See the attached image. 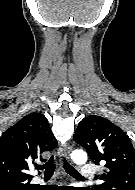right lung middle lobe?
Instances as JSON below:
<instances>
[{"label":"right lung middle lobe","instance_id":"obj_1","mask_svg":"<svg viewBox=\"0 0 135 190\" xmlns=\"http://www.w3.org/2000/svg\"><path fill=\"white\" fill-rule=\"evenodd\" d=\"M0 190H32V187L29 184L19 182H1Z\"/></svg>","mask_w":135,"mask_h":190}]
</instances>
